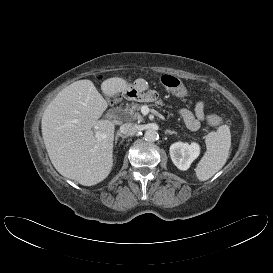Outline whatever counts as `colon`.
Here are the masks:
<instances>
[{"mask_svg":"<svg viewBox=\"0 0 273 273\" xmlns=\"http://www.w3.org/2000/svg\"><path fill=\"white\" fill-rule=\"evenodd\" d=\"M161 80L163 85L175 94L179 96H183L186 94L185 85L176 77L171 75H164L162 76ZM207 122L212 126H218L223 122V120L221 117L211 114L207 116Z\"/></svg>","mask_w":273,"mask_h":273,"instance_id":"5ec220e1","label":"colon"}]
</instances>
